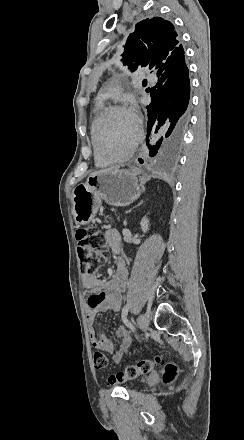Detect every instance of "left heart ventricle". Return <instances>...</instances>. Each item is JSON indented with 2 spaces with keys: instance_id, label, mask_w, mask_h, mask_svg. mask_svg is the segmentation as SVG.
I'll return each mask as SVG.
<instances>
[{
  "instance_id": "obj_1",
  "label": "left heart ventricle",
  "mask_w": 244,
  "mask_h": 440,
  "mask_svg": "<svg viewBox=\"0 0 244 440\" xmlns=\"http://www.w3.org/2000/svg\"><path fill=\"white\" fill-rule=\"evenodd\" d=\"M104 128L107 130L102 140L105 149H109L111 146L126 145L127 141L134 136L128 114L123 110L112 112L109 124H105Z\"/></svg>"
}]
</instances>
